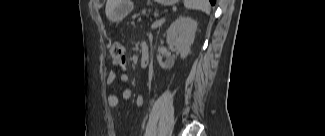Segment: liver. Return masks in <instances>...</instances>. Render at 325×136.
<instances>
[{"mask_svg":"<svg viewBox=\"0 0 325 136\" xmlns=\"http://www.w3.org/2000/svg\"><path fill=\"white\" fill-rule=\"evenodd\" d=\"M118 2H119V0H107L105 12H106V16L111 21H112V18H111L112 13H113Z\"/></svg>","mask_w":325,"mask_h":136,"instance_id":"1","label":"liver"}]
</instances>
